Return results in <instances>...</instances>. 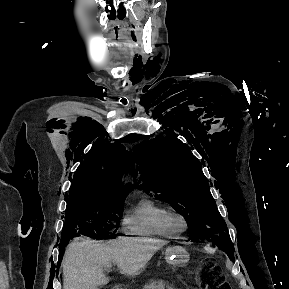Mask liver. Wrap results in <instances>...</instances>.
Wrapping results in <instances>:
<instances>
[{
  "label": "liver",
  "mask_w": 289,
  "mask_h": 289,
  "mask_svg": "<svg viewBox=\"0 0 289 289\" xmlns=\"http://www.w3.org/2000/svg\"><path fill=\"white\" fill-rule=\"evenodd\" d=\"M165 240L121 237L106 244L77 238L63 258V289H98L108 282L103 267L114 262L120 273L137 275Z\"/></svg>",
  "instance_id": "liver-1"
}]
</instances>
